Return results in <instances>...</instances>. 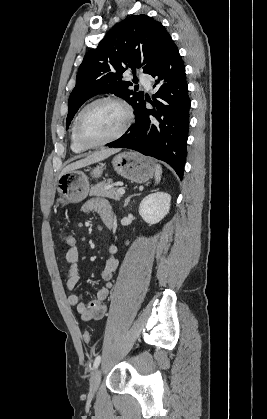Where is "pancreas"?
<instances>
[{"instance_id": "1", "label": "pancreas", "mask_w": 267, "mask_h": 419, "mask_svg": "<svg viewBox=\"0 0 267 419\" xmlns=\"http://www.w3.org/2000/svg\"><path fill=\"white\" fill-rule=\"evenodd\" d=\"M112 185V180H104L91 187L90 196L107 197L114 200H119L120 195L114 188H108Z\"/></svg>"}]
</instances>
